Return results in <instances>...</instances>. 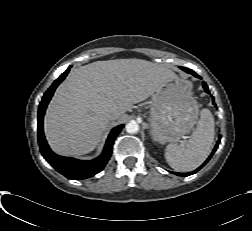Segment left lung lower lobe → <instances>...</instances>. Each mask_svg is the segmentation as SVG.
<instances>
[{"label": "left lung lower lobe", "instance_id": "left-lung-lower-lobe-1", "mask_svg": "<svg viewBox=\"0 0 252 231\" xmlns=\"http://www.w3.org/2000/svg\"><path fill=\"white\" fill-rule=\"evenodd\" d=\"M181 69L184 70V71H186L187 73H190V74L194 75L195 77L200 78V76H198L194 71H192V70H190V69H188V68L181 67ZM203 87H204L205 91H206L207 93H209L208 86H207L206 83L203 84ZM213 104L215 105L214 99H213ZM219 143H220V138L218 139V141H217V143H216V145H215V147H214V149H213V151H212V154H211V155L208 157V159L202 164V166H200L197 170H195V171H193V172L186 173L185 175H186V176L192 175V174H194L195 172H197L199 169H201V168L210 160V158L212 157L213 153H214V152L216 151V149L218 148ZM174 174H176V175H178V176H183V174H181V173H174Z\"/></svg>", "mask_w": 252, "mask_h": 231}]
</instances>
